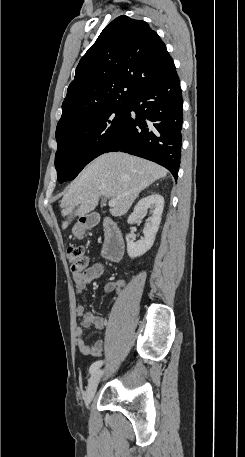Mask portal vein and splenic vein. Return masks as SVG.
<instances>
[{
  "mask_svg": "<svg viewBox=\"0 0 245 457\" xmlns=\"http://www.w3.org/2000/svg\"><path fill=\"white\" fill-rule=\"evenodd\" d=\"M115 204H118V198H111L109 200V206H115Z\"/></svg>",
  "mask_w": 245,
  "mask_h": 457,
  "instance_id": "obj_1",
  "label": "portal vein and splenic vein"
}]
</instances>
